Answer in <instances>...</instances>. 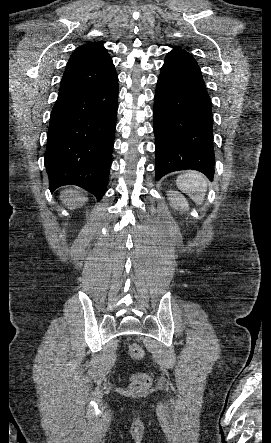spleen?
<instances>
[{"instance_id": "spleen-1", "label": "spleen", "mask_w": 271, "mask_h": 443, "mask_svg": "<svg viewBox=\"0 0 271 443\" xmlns=\"http://www.w3.org/2000/svg\"><path fill=\"white\" fill-rule=\"evenodd\" d=\"M176 186L181 192H185L187 196H190L198 206H201L202 202H204V196L207 192V182L203 174H199V172H186V174H181L176 180Z\"/></svg>"}]
</instances>
